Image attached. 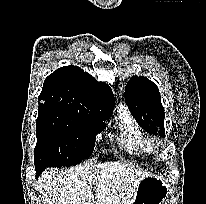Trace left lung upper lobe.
Instances as JSON below:
<instances>
[{
  "instance_id": "1",
  "label": "left lung upper lobe",
  "mask_w": 206,
  "mask_h": 204,
  "mask_svg": "<svg viewBox=\"0 0 206 204\" xmlns=\"http://www.w3.org/2000/svg\"><path fill=\"white\" fill-rule=\"evenodd\" d=\"M125 101L140 126L151 134L165 136L164 108L158 87L143 76H133L125 88Z\"/></svg>"
}]
</instances>
